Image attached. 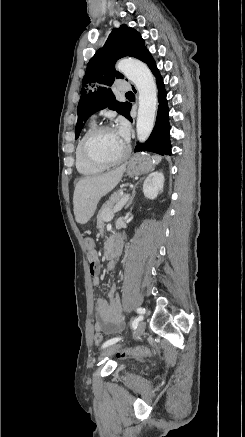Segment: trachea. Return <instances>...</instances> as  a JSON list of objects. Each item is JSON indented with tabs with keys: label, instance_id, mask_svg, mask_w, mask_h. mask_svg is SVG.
<instances>
[{
	"label": "trachea",
	"instance_id": "1",
	"mask_svg": "<svg viewBox=\"0 0 245 437\" xmlns=\"http://www.w3.org/2000/svg\"><path fill=\"white\" fill-rule=\"evenodd\" d=\"M126 95H133V93L132 92H127Z\"/></svg>",
	"mask_w": 245,
	"mask_h": 437
}]
</instances>
